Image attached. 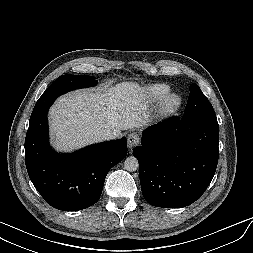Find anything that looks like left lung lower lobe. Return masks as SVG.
I'll list each match as a JSON object with an SVG mask.
<instances>
[{"instance_id": "0a47b994", "label": "left lung lower lobe", "mask_w": 253, "mask_h": 253, "mask_svg": "<svg viewBox=\"0 0 253 253\" xmlns=\"http://www.w3.org/2000/svg\"><path fill=\"white\" fill-rule=\"evenodd\" d=\"M218 143L216 117L173 118L148 127L133 150L146 201L165 208L195 202L215 174Z\"/></svg>"}]
</instances>
